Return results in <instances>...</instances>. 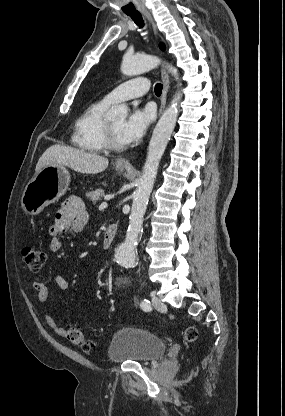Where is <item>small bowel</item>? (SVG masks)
<instances>
[{"instance_id":"obj_1","label":"small bowel","mask_w":285,"mask_h":416,"mask_svg":"<svg viewBox=\"0 0 285 416\" xmlns=\"http://www.w3.org/2000/svg\"><path fill=\"white\" fill-rule=\"evenodd\" d=\"M88 221V214L85 209L83 201L78 197H70L63 204L62 208L57 212L55 221L49 227L48 233L50 235L49 250L53 253L59 252L62 248L60 236L72 232L81 231ZM60 290H65L68 287V282L63 276H56L53 280ZM34 289L37 291V296L40 302L49 301L52 291L49 286L40 280L33 283ZM47 325L58 336L65 337L67 331L59 325L50 314L44 316Z\"/></svg>"}]
</instances>
